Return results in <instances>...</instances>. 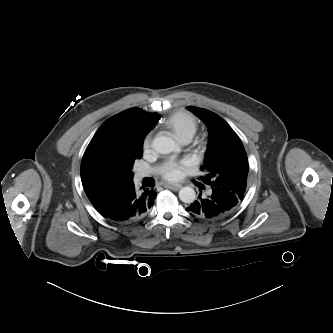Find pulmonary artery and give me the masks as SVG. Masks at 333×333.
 <instances>
[{
  "mask_svg": "<svg viewBox=\"0 0 333 333\" xmlns=\"http://www.w3.org/2000/svg\"><path fill=\"white\" fill-rule=\"evenodd\" d=\"M190 140H191V139L186 138V139L181 140V142H182L183 144H187V143L190 142ZM148 174H149L148 171H139V172H137V174H136V180L138 181V180L142 179L143 177L147 176Z\"/></svg>",
  "mask_w": 333,
  "mask_h": 333,
  "instance_id": "obj_1",
  "label": "pulmonary artery"
}]
</instances>
